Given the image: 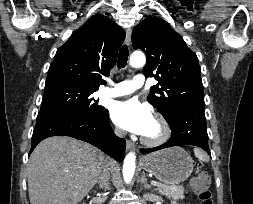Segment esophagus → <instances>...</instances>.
I'll return each instance as SVG.
<instances>
[{"label": "esophagus", "mask_w": 253, "mask_h": 204, "mask_svg": "<svg viewBox=\"0 0 253 204\" xmlns=\"http://www.w3.org/2000/svg\"><path fill=\"white\" fill-rule=\"evenodd\" d=\"M131 34H132V30H131V29H128V30L126 31V38H125V43H126L127 45H130V44H131ZM126 146H127V149H128V150L134 149V143L131 142L130 140H127V141H126Z\"/></svg>", "instance_id": "34e87169"}]
</instances>
